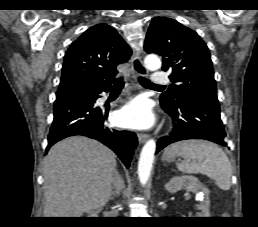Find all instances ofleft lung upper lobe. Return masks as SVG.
I'll return each mask as SVG.
<instances>
[{
	"label": "left lung upper lobe",
	"mask_w": 258,
	"mask_h": 227,
	"mask_svg": "<svg viewBox=\"0 0 258 227\" xmlns=\"http://www.w3.org/2000/svg\"><path fill=\"white\" fill-rule=\"evenodd\" d=\"M144 49L161 55L162 69L171 73L169 78L174 83L161 95L162 103L175 105L192 94L217 97L209 50L195 31L173 19L155 17Z\"/></svg>",
	"instance_id": "5c2ea615"
}]
</instances>
